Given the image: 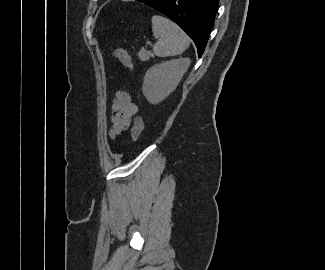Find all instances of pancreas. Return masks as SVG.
Returning <instances> with one entry per match:
<instances>
[{"mask_svg": "<svg viewBox=\"0 0 325 270\" xmlns=\"http://www.w3.org/2000/svg\"><path fill=\"white\" fill-rule=\"evenodd\" d=\"M139 59L141 61H147L150 59V57H153V53L151 51H147L146 49L142 48L138 53H137Z\"/></svg>", "mask_w": 325, "mask_h": 270, "instance_id": "1", "label": "pancreas"}]
</instances>
